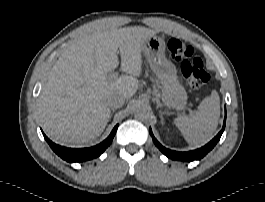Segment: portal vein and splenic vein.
Listing matches in <instances>:
<instances>
[{
    "label": "portal vein and splenic vein",
    "instance_id": "obj_1",
    "mask_svg": "<svg viewBox=\"0 0 265 202\" xmlns=\"http://www.w3.org/2000/svg\"><path fill=\"white\" fill-rule=\"evenodd\" d=\"M117 77H118V73H112V74L109 75V79H110V80H114V79H116Z\"/></svg>",
    "mask_w": 265,
    "mask_h": 202
}]
</instances>
